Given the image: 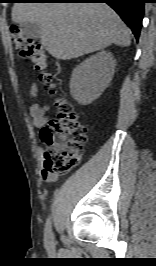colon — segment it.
Masks as SVG:
<instances>
[{"label":"colon","mask_w":156,"mask_h":266,"mask_svg":"<svg viewBox=\"0 0 156 266\" xmlns=\"http://www.w3.org/2000/svg\"><path fill=\"white\" fill-rule=\"evenodd\" d=\"M11 40L20 56L33 63L46 91L56 93L53 76L46 70L47 56L41 44L23 35L18 27L11 29ZM57 116L42 129L46 151L44 170L53 175L68 173L81 160L87 142V128L73 105L64 98L55 101Z\"/></svg>","instance_id":"obj_1"}]
</instances>
